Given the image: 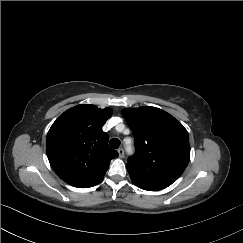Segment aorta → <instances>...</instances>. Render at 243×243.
<instances>
[{
	"mask_svg": "<svg viewBox=\"0 0 243 243\" xmlns=\"http://www.w3.org/2000/svg\"><path fill=\"white\" fill-rule=\"evenodd\" d=\"M127 151H128V152L130 151V147H128Z\"/></svg>",
	"mask_w": 243,
	"mask_h": 243,
	"instance_id": "1",
	"label": "aorta"
}]
</instances>
